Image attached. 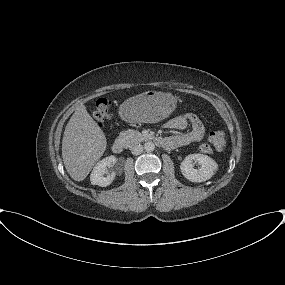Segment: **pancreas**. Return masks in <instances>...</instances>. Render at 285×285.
Returning a JSON list of instances; mask_svg holds the SVG:
<instances>
[{"instance_id": "cf45deb5", "label": "pancreas", "mask_w": 285, "mask_h": 285, "mask_svg": "<svg viewBox=\"0 0 285 285\" xmlns=\"http://www.w3.org/2000/svg\"><path fill=\"white\" fill-rule=\"evenodd\" d=\"M120 138L125 139L130 143H138L144 139V135L136 130H126L119 134Z\"/></svg>"}]
</instances>
